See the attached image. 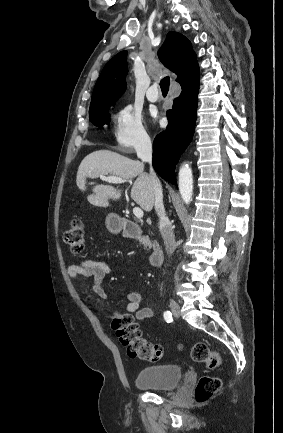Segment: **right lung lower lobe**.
Returning a JSON list of instances; mask_svg holds the SVG:
<instances>
[{
	"instance_id": "1",
	"label": "right lung lower lobe",
	"mask_w": 283,
	"mask_h": 433,
	"mask_svg": "<svg viewBox=\"0 0 283 433\" xmlns=\"http://www.w3.org/2000/svg\"><path fill=\"white\" fill-rule=\"evenodd\" d=\"M182 93L167 111L168 126L153 143V167L166 181L176 184L174 169L180 155L192 140L198 102L199 77L181 84Z\"/></svg>"
}]
</instances>
